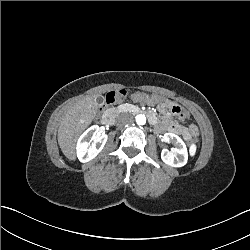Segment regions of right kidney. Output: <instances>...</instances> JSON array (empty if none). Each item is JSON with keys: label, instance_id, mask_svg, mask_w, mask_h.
<instances>
[{"label": "right kidney", "instance_id": "1", "mask_svg": "<svg viewBox=\"0 0 250 250\" xmlns=\"http://www.w3.org/2000/svg\"><path fill=\"white\" fill-rule=\"evenodd\" d=\"M93 139L89 146L88 139ZM107 136L99 133L98 125H91L78 138L76 143V156L80 162L93 159L104 147ZM89 146V147H88Z\"/></svg>", "mask_w": 250, "mask_h": 250}]
</instances>
